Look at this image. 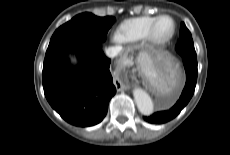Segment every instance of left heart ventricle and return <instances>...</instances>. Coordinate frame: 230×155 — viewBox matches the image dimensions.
I'll list each match as a JSON object with an SVG mask.
<instances>
[{
  "label": "left heart ventricle",
  "mask_w": 230,
  "mask_h": 155,
  "mask_svg": "<svg viewBox=\"0 0 230 155\" xmlns=\"http://www.w3.org/2000/svg\"><path fill=\"white\" fill-rule=\"evenodd\" d=\"M172 29V22L169 19H163L157 26L156 33L159 37H166Z\"/></svg>",
  "instance_id": "1"
}]
</instances>
